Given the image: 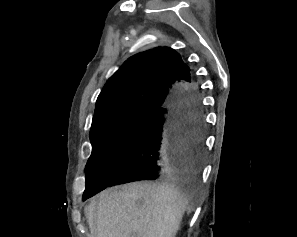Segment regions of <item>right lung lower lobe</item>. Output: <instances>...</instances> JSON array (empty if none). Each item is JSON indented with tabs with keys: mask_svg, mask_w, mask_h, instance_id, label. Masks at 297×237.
I'll list each match as a JSON object with an SVG mask.
<instances>
[{
	"mask_svg": "<svg viewBox=\"0 0 297 237\" xmlns=\"http://www.w3.org/2000/svg\"><path fill=\"white\" fill-rule=\"evenodd\" d=\"M204 137L199 87L193 80L175 88L167 105L151 113L106 187L186 177L199 172L204 157Z\"/></svg>",
	"mask_w": 297,
	"mask_h": 237,
	"instance_id": "right-lung-lower-lobe-1",
	"label": "right lung lower lobe"
}]
</instances>
